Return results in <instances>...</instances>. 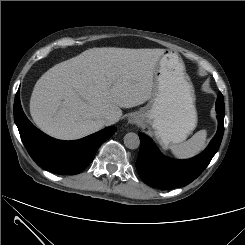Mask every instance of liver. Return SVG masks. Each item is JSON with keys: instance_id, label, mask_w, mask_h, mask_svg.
Returning a JSON list of instances; mask_svg holds the SVG:
<instances>
[{"instance_id": "1", "label": "liver", "mask_w": 245, "mask_h": 245, "mask_svg": "<svg viewBox=\"0 0 245 245\" xmlns=\"http://www.w3.org/2000/svg\"><path fill=\"white\" fill-rule=\"evenodd\" d=\"M165 49L102 47L56 64L36 82L30 114L37 127L58 139L76 140L108 125V114L145 103Z\"/></svg>"}]
</instances>
